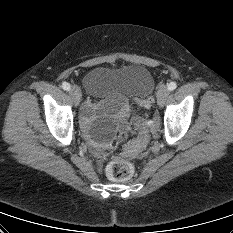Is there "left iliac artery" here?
I'll list each match as a JSON object with an SVG mask.
<instances>
[{"instance_id":"1","label":"left iliac artery","mask_w":233,"mask_h":233,"mask_svg":"<svg viewBox=\"0 0 233 233\" xmlns=\"http://www.w3.org/2000/svg\"><path fill=\"white\" fill-rule=\"evenodd\" d=\"M176 87H177V84H176L175 82H170V83L168 84V90H170V91L175 90Z\"/></svg>"}]
</instances>
